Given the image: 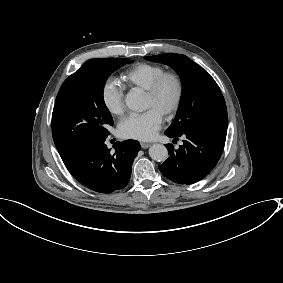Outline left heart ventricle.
<instances>
[{
    "label": "left heart ventricle",
    "instance_id": "b2bd125f",
    "mask_svg": "<svg viewBox=\"0 0 283 283\" xmlns=\"http://www.w3.org/2000/svg\"><path fill=\"white\" fill-rule=\"evenodd\" d=\"M174 84L171 80L164 83L161 92L157 97H150L145 93V109L154 108L164 113L174 96Z\"/></svg>",
    "mask_w": 283,
    "mask_h": 283
}]
</instances>
